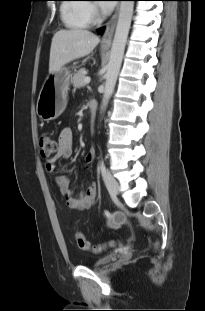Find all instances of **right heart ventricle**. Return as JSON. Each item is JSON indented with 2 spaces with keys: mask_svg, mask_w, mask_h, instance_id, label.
Listing matches in <instances>:
<instances>
[{
  "mask_svg": "<svg viewBox=\"0 0 205 311\" xmlns=\"http://www.w3.org/2000/svg\"><path fill=\"white\" fill-rule=\"evenodd\" d=\"M80 2L82 0H66ZM88 4L65 3L61 5V18L66 27L71 29H84L91 23Z\"/></svg>",
  "mask_w": 205,
  "mask_h": 311,
  "instance_id": "obj_1",
  "label": "right heart ventricle"
}]
</instances>
